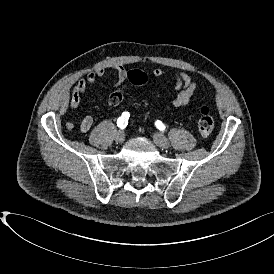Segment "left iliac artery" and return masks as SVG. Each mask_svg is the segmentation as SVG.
I'll return each instance as SVG.
<instances>
[{
  "label": "left iliac artery",
  "instance_id": "left-iliac-artery-1",
  "mask_svg": "<svg viewBox=\"0 0 274 274\" xmlns=\"http://www.w3.org/2000/svg\"><path fill=\"white\" fill-rule=\"evenodd\" d=\"M155 125H156V127H157L160 131H164V130H165V125H164L161 121L157 120V121L155 122Z\"/></svg>",
  "mask_w": 274,
  "mask_h": 274
}]
</instances>
